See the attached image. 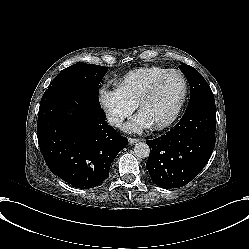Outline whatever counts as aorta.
<instances>
[{
  "label": "aorta",
  "mask_w": 249,
  "mask_h": 249,
  "mask_svg": "<svg viewBox=\"0 0 249 249\" xmlns=\"http://www.w3.org/2000/svg\"><path fill=\"white\" fill-rule=\"evenodd\" d=\"M134 155L138 158L145 159L150 155V148L145 142H138L134 145Z\"/></svg>",
  "instance_id": "762f6f07"
}]
</instances>
